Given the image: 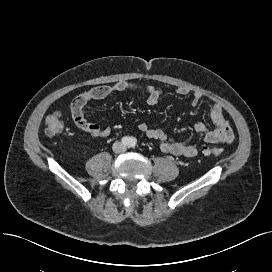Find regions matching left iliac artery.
<instances>
[{
    "label": "left iliac artery",
    "instance_id": "left-iliac-artery-1",
    "mask_svg": "<svg viewBox=\"0 0 272 272\" xmlns=\"http://www.w3.org/2000/svg\"><path fill=\"white\" fill-rule=\"evenodd\" d=\"M130 146L131 147H135L136 146V139L135 138H131V140H130Z\"/></svg>",
    "mask_w": 272,
    "mask_h": 272
}]
</instances>
